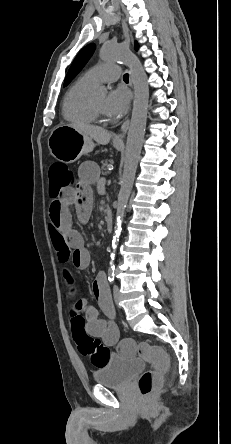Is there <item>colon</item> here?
Listing matches in <instances>:
<instances>
[{"label": "colon", "mask_w": 231, "mask_h": 444, "mask_svg": "<svg viewBox=\"0 0 231 444\" xmlns=\"http://www.w3.org/2000/svg\"><path fill=\"white\" fill-rule=\"evenodd\" d=\"M75 184L73 172L63 163H53L49 168V194L52 200L58 201L64 189ZM85 318L77 310H71L72 336L78 351L87 357L91 363L100 368L106 364L110 356L107 346L90 336L85 330ZM122 348L135 350L151 365V370L144 371L138 380V388L143 396H149L162 383V373L168 368V357L162 348L145 342L136 343L125 339Z\"/></svg>", "instance_id": "colon-1"}]
</instances>
